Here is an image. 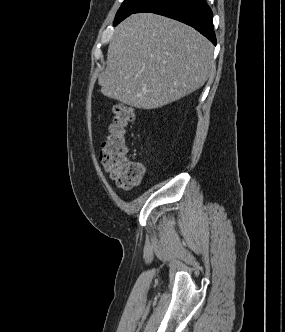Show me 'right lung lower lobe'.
<instances>
[{"label": "right lung lower lobe", "instance_id": "98d812e1", "mask_svg": "<svg viewBox=\"0 0 285 332\" xmlns=\"http://www.w3.org/2000/svg\"><path fill=\"white\" fill-rule=\"evenodd\" d=\"M150 12L183 22L216 45L213 14L204 0H148L133 13Z\"/></svg>", "mask_w": 285, "mask_h": 332}]
</instances>
